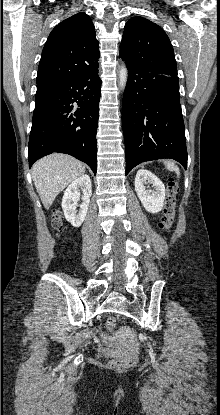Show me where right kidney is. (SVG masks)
I'll return each mask as SVG.
<instances>
[{
  "label": "right kidney",
  "instance_id": "ca27d5eb",
  "mask_svg": "<svg viewBox=\"0 0 220 415\" xmlns=\"http://www.w3.org/2000/svg\"><path fill=\"white\" fill-rule=\"evenodd\" d=\"M79 188L83 191L80 210L77 211V202L80 199ZM92 195L91 180L88 175H82L74 180L65 190L62 198V209L65 218L74 227H80L83 223Z\"/></svg>",
  "mask_w": 220,
  "mask_h": 415
}]
</instances>
